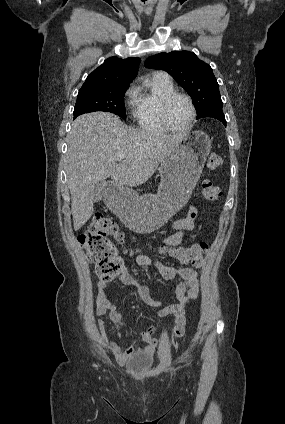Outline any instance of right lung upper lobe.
Instances as JSON below:
<instances>
[{"instance_id":"obj_1","label":"right lung upper lobe","mask_w":285,"mask_h":424,"mask_svg":"<svg viewBox=\"0 0 285 424\" xmlns=\"http://www.w3.org/2000/svg\"><path fill=\"white\" fill-rule=\"evenodd\" d=\"M141 60L129 57H110L90 73L82 88L130 84L137 75Z\"/></svg>"}]
</instances>
